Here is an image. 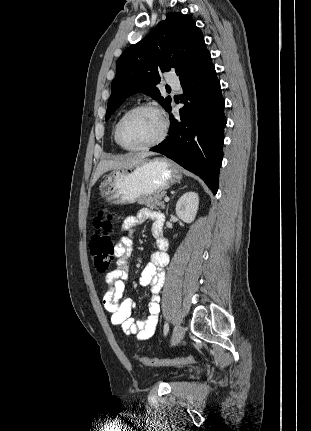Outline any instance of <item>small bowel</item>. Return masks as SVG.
Here are the masks:
<instances>
[{
	"label": "small bowel",
	"instance_id": "c3829d8e",
	"mask_svg": "<svg viewBox=\"0 0 311 431\" xmlns=\"http://www.w3.org/2000/svg\"><path fill=\"white\" fill-rule=\"evenodd\" d=\"M147 220L152 221L151 233L156 240L157 250L149 256V262L140 276V284L150 286L148 303L149 314L142 320L135 321L133 310L135 303L131 299H122L125 281L129 278L128 260L131 254L133 234L136 226ZM165 218L161 212L141 209L134 216L127 217L121 226L122 236L115 246L117 268L106 275V289L103 295L105 309L111 313V322L122 328L126 335H135L139 340L150 338L157 327L160 312L159 292L163 286L165 275L163 268L169 262L168 240L163 236Z\"/></svg>",
	"mask_w": 311,
	"mask_h": 431
}]
</instances>
